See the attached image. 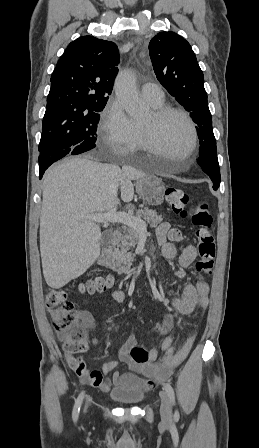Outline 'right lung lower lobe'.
Returning a JSON list of instances; mask_svg holds the SVG:
<instances>
[{
	"label": "right lung lower lobe",
	"mask_w": 259,
	"mask_h": 448,
	"mask_svg": "<svg viewBox=\"0 0 259 448\" xmlns=\"http://www.w3.org/2000/svg\"><path fill=\"white\" fill-rule=\"evenodd\" d=\"M71 149H62V150H53V151H44L39 155V178L41 179L45 170L54 162L66 156L67 154H71Z\"/></svg>",
	"instance_id": "right-lung-lower-lobe-1"
}]
</instances>
